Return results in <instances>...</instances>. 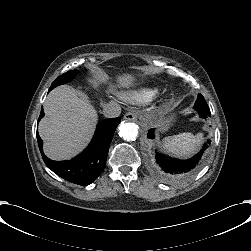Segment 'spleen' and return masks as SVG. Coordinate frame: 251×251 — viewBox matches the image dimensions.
Masks as SVG:
<instances>
[{
  "label": "spleen",
  "mask_w": 251,
  "mask_h": 251,
  "mask_svg": "<svg viewBox=\"0 0 251 251\" xmlns=\"http://www.w3.org/2000/svg\"><path fill=\"white\" fill-rule=\"evenodd\" d=\"M203 133L186 132L163 139V148L168 152L181 157H189L201 146L203 141Z\"/></svg>",
  "instance_id": "3e777b00"
}]
</instances>
